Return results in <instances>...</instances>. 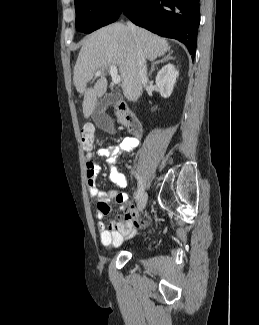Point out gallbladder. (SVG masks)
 <instances>
[{
    "label": "gallbladder",
    "instance_id": "bac80fb5",
    "mask_svg": "<svg viewBox=\"0 0 259 325\" xmlns=\"http://www.w3.org/2000/svg\"><path fill=\"white\" fill-rule=\"evenodd\" d=\"M119 96L116 94H108L100 99L92 114V119L97 126L102 129L109 130L111 127V118L105 113L107 106L111 103H116Z\"/></svg>",
    "mask_w": 259,
    "mask_h": 325
}]
</instances>
